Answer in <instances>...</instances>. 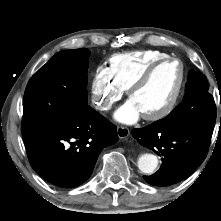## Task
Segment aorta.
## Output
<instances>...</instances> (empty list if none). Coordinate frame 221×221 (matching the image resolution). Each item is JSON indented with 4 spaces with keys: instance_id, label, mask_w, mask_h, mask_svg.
Segmentation results:
<instances>
[{
    "instance_id": "1",
    "label": "aorta",
    "mask_w": 221,
    "mask_h": 221,
    "mask_svg": "<svg viewBox=\"0 0 221 221\" xmlns=\"http://www.w3.org/2000/svg\"><path fill=\"white\" fill-rule=\"evenodd\" d=\"M158 166V158L150 153L142 154L138 159V168L145 174H152Z\"/></svg>"
}]
</instances>
